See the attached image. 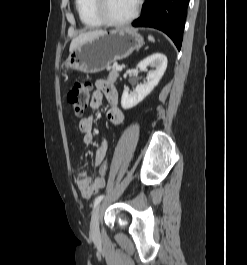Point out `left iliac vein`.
I'll use <instances>...</instances> for the list:
<instances>
[{"mask_svg": "<svg viewBox=\"0 0 247 265\" xmlns=\"http://www.w3.org/2000/svg\"><path fill=\"white\" fill-rule=\"evenodd\" d=\"M100 209L99 205L92 214L91 223H90V235L92 238L99 236V218H100Z\"/></svg>", "mask_w": 247, "mask_h": 265, "instance_id": "obj_1", "label": "left iliac vein"}]
</instances>
